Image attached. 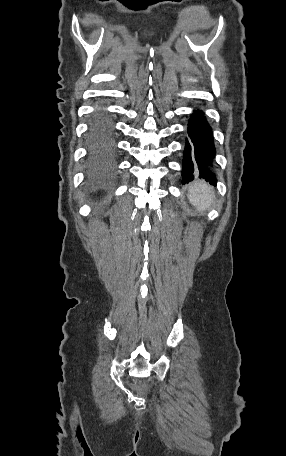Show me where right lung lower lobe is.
I'll return each mask as SVG.
<instances>
[{
	"label": "right lung lower lobe",
	"instance_id": "1",
	"mask_svg": "<svg viewBox=\"0 0 286 456\" xmlns=\"http://www.w3.org/2000/svg\"><path fill=\"white\" fill-rule=\"evenodd\" d=\"M95 115H100V116L106 118V120L108 121V124H109V130H110V123H109V119H108L107 113L105 111L100 110Z\"/></svg>",
	"mask_w": 286,
	"mask_h": 456
}]
</instances>
